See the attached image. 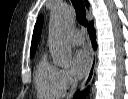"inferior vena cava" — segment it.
<instances>
[{
  "instance_id": "602c4592",
  "label": "inferior vena cava",
  "mask_w": 128,
  "mask_h": 99,
  "mask_svg": "<svg viewBox=\"0 0 128 99\" xmlns=\"http://www.w3.org/2000/svg\"><path fill=\"white\" fill-rule=\"evenodd\" d=\"M77 87V80L72 81L70 93L67 95V99H71Z\"/></svg>"
}]
</instances>
